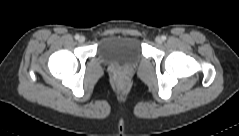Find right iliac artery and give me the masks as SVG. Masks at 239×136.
<instances>
[{
  "instance_id": "right-iliac-artery-1",
  "label": "right iliac artery",
  "mask_w": 239,
  "mask_h": 136,
  "mask_svg": "<svg viewBox=\"0 0 239 136\" xmlns=\"http://www.w3.org/2000/svg\"><path fill=\"white\" fill-rule=\"evenodd\" d=\"M80 36L78 34L75 35V39L78 40Z\"/></svg>"
}]
</instances>
